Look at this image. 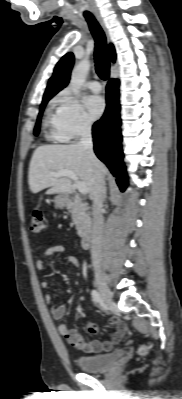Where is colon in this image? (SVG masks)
<instances>
[{
    "label": "colon",
    "instance_id": "5ec220e1",
    "mask_svg": "<svg viewBox=\"0 0 182 399\" xmlns=\"http://www.w3.org/2000/svg\"><path fill=\"white\" fill-rule=\"evenodd\" d=\"M47 225H48L47 221L41 212L32 213L30 231L34 235L43 234L47 229ZM126 334L127 335L129 334L128 330H126ZM149 351H150V346L148 344H142L138 349V353L140 356H146L149 353Z\"/></svg>",
    "mask_w": 182,
    "mask_h": 399
}]
</instances>
